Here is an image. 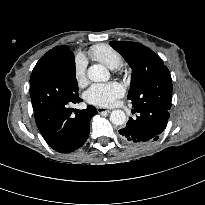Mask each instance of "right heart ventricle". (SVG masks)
<instances>
[{"label": "right heart ventricle", "instance_id": "1", "mask_svg": "<svg viewBox=\"0 0 205 205\" xmlns=\"http://www.w3.org/2000/svg\"><path fill=\"white\" fill-rule=\"evenodd\" d=\"M88 54L110 69H116L123 63L122 55L108 44H96L89 49Z\"/></svg>", "mask_w": 205, "mask_h": 205}]
</instances>
